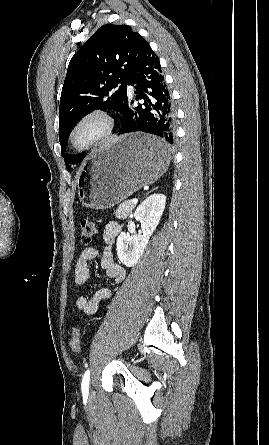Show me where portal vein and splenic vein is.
<instances>
[{
	"instance_id": "1",
	"label": "portal vein and splenic vein",
	"mask_w": 269,
	"mask_h": 445,
	"mask_svg": "<svg viewBox=\"0 0 269 445\" xmlns=\"http://www.w3.org/2000/svg\"><path fill=\"white\" fill-rule=\"evenodd\" d=\"M131 202H132L133 204H136V203L138 202V200H137V199H133Z\"/></svg>"
}]
</instances>
